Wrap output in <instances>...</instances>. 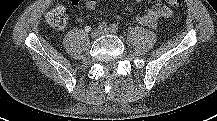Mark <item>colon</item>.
<instances>
[{
    "label": "colon",
    "instance_id": "colon-1",
    "mask_svg": "<svg viewBox=\"0 0 217 121\" xmlns=\"http://www.w3.org/2000/svg\"><path fill=\"white\" fill-rule=\"evenodd\" d=\"M168 4L176 6L181 0H165ZM46 20L50 26L55 29H62L66 26L68 20V12L66 7L62 5L55 6L46 15Z\"/></svg>",
    "mask_w": 217,
    "mask_h": 121
}]
</instances>
